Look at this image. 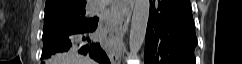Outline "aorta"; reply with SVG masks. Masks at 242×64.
<instances>
[{
    "label": "aorta",
    "instance_id": "obj_1",
    "mask_svg": "<svg viewBox=\"0 0 242 64\" xmlns=\"http://www.w3.org/2000/svg\"><path fill=\"white\" fill-rule=\"evenodd\" d=\"M149 11V0H135L129 38L130 53L132 55H136L144 43Z\"/></svg>",
    "mask_w": 242,
    "mask_h": 64
}]
</instances>
